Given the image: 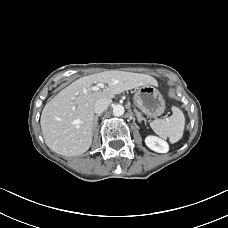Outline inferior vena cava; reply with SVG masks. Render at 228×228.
<instances>
[{
	"instance_id": "inferior-vena-cava-1",
	"label": "inferior vena cava",
	"mask_w": 228,
	"mask_h": 228,
	"mask_svg": "<svg viewBox=\"0 0 228 228\" xmlns=\"http://www.w3.org/2000/svg\"><path fill=\"white\" fill-rule=\"evenodd\" d=\"M110 103H111L110 99H101L97 101L94 106L95 113L100 114L104 112L108 108Z\"/></svg>"
}]
</instances>
